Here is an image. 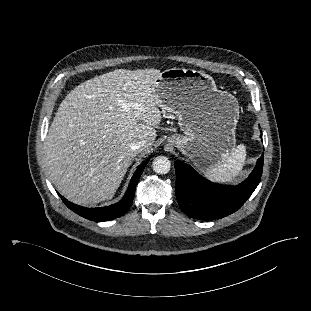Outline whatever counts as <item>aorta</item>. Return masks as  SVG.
Masks as SVG:
<instances>
[{
  "instance_id": "1",
  "label": "aorta",
  "mask_w": 311,
  "mask_h": 311,
  "mask_svg": "<svg viewBox=\"0 0 311 311\" xmlns=\"http://www.w3.org/2000/svg\"><path fill=\"white\" fill-rule=\"evenodd\" d=\"M153 170L158 174H166L169 172L171 163L170 160L165 156H158L154 159Z\"/></svg>"
}]
</instances>
